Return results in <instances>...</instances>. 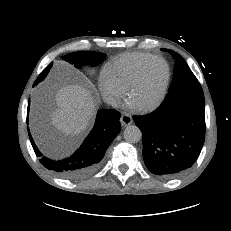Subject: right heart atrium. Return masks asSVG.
Segmentation results:
<instances>
[{"label": "right heart atrium", "mask_w": 231, "mask_h": 231, "mask_svg": "<svg viewBox=\"0 0 231 231\" xmlns=\"http://www.w3.org/2000/svg\"><path fill=\"white\" fill-rule=\"evenodd\" d=\"M99 88L105 100L113 106H117L125 95V89L105 72L99 77Z\"/></svg>", "instance_id": "d8ad5b80"}]
</instances>
